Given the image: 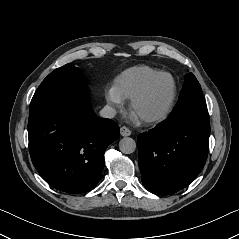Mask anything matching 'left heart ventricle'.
Returning <instances> with one entry per match:
<instances>
[{"label": "left heart ventricle", "instance_id": "b2bd125f", "mask_svg": "<svg viewBox=\"0 0 239 239\" xmlns=\"http://www.w3.org/2000/svg\"><path fill=\"white\" fill-rule=\"evenodd\" d=\"M172 93V83L167 77H160L147 93L134 105L132 112L139 118L160 111L168 102Z\"/></svg>", "mask_w": 239, "mask_h": 239}]
</instances>
